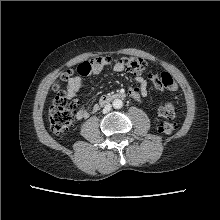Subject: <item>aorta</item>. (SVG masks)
<instances>
[{"label": "aorta", "instance_id": "obj_1", "mask_svg": "<svg viewBox=\"0 0 220 220\" xmlns=\"http://www.w3.org/2000/svg\"><path fill=\"white\" fill-rule=\"evenodd\" d=\"M112 105H113V107H114L115 109H120V108H122V106H123V102H122L121 99H115V100L113 101Z\"/></svg>", "mask_w": 220, "mask_h": 220}]
</instances>
